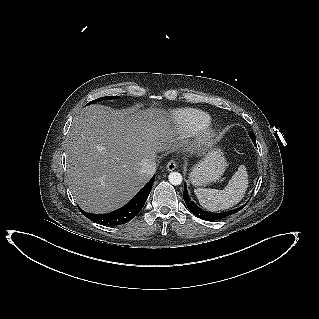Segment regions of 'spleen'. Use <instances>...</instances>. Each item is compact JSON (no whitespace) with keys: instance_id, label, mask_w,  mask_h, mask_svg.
Masks as SVG:
<instances>
[{"instance_id":"spleen-1","label":"spleen","mask_w":319,"mask_h":319,"mask_svg":"<svg viewBox=\"0 0 319 319\" xmlns=\"http://www.w3.org/2000/svg\"><path fill=\"white\" fill-rule=\"evenodd\" d=\"M248 184L246 166L240 165L223 190L197 188L194 192L202 207L220 211L239 203L244 198Z\"/></svg>"}]
</instances>
